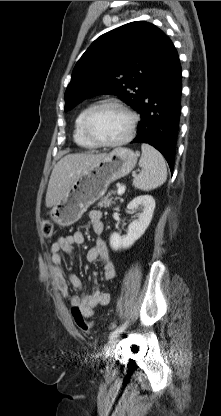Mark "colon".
Instances as JSON below:
<instances>
[{
    "instance_id": "5ec220e1",
    "label": "colon",
    "mask_w": 221,
    "mask_h": 416,
    "mask_svg": "<svg viewBox=\"0 0 221 416\" xmlns=\"http://www.w3.org/2000/svg\"><path fill=\"white\" fill-rule=\"evenodd\" d=\"M42 233L45 238L49 239L53 235V224L49 220H45L42 224ZM72 315L77 326L83 332H89L92 329V325L85 319L84 315L78 307L72 308Z\"/></svg>"
}]
</instances>
